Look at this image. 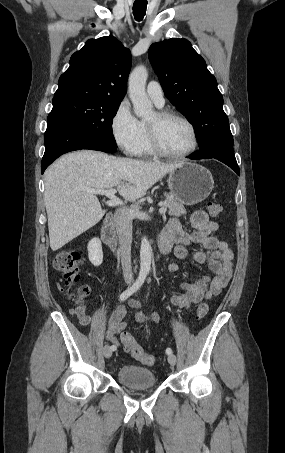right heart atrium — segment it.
Instances as JSON below:
<instances>
[{"label": "right heart atrium", "instance_id": "d8ad5b80", "mask_svg": "<svg viewBox=\"0 0 285 453\" xmlns=\"http://www.w3.org/2000/svg\"><path fill=\"white\" fill-rule=\"evenodd\" d=\"M111 133L125 154H136L141 136V122L134 116L127 103H122L117 108L111 122Z\"/></svg>", "mask_w": 285, "mask_h": 453}]
</instances>
